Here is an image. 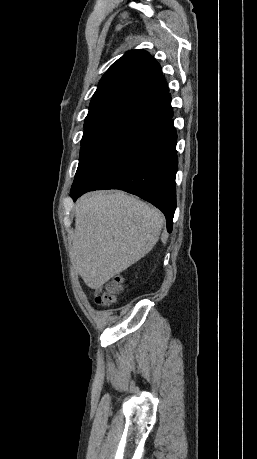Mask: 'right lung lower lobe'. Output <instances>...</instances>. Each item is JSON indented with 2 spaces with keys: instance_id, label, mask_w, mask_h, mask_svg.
Listing matches in <instances>:
<instances>
[{
  "instance_id": "obj_1",
  "label": "right lung lower lobe",
  "mask_w": 257,
  "mask_h": 459,
  "mask_svg": "<svg viewBox=\"0 0 257 459\" xmlns=\"http://www.w3.org/2000/svg\"><path fill=\"white\" fill-rule=\"evenodd\" d=\"M168 93L128 118L107 146L76 173L73 200L97 189H120L159 208L171 232L176 209L177 134Z\"/></svg>"
}]
</instances>
